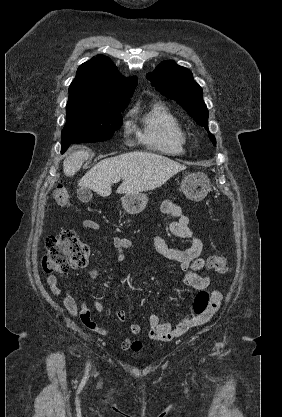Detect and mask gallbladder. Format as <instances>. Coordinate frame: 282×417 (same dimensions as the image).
Here are the masks:
<instances>
[{
    "mask_svg": "<svg viewBox=\"0 0 282 417\" xmlns=\"http://www.w3.org/2000/svg\"><path fill=\"white\" fill-rule=\"evenodd\" d=\"M77 196L79 200H82V202H88V200H91L92 198V192L90 188H85V186H81V188H78L77 190Z\"/></svg>",
    "mask_w": 282,
    "mask_h": 417,
    "instance_id": "1",
    "label": "gallbladder"
}]
</instances>
